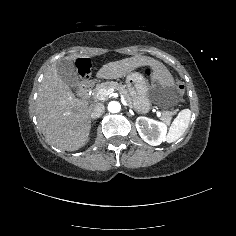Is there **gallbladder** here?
<instances>
[{"label":"gallbladder","instance_id":"obj_1","mask_svg":"<svg viewBox=\"0 0 236 236\" xmlns=\"http://www.w3.org/2000/svg\"><path fill=\"white\" fill-rule=\"evenodd\" d=\"M55 68L58 76L68 85H74L78 82V77L75 74L74 65L69 58H61L56 61Z\"/></svg>","mask_w":236,"mask_h":236}]
</instances>
